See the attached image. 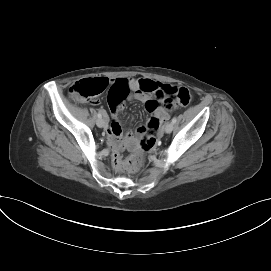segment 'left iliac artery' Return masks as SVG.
I'll list each match as a JSON object with an SVG mask.
<instances>
[{"label":"left iliac artery","mask_w":271,"mask_h":271,"mask_svg":"<svg viewBox=\"0 0 271 271\" xmlns=\"http://www.w3.org/2000/svg\"><path fill=\"white\" fill-rule=\"evenodd\" d=\"M176 122H177V118H176V117H173L172 123L175 124Z\"/></svg>","instance_id":"left-iliac-artery-1"}]
</instances>
